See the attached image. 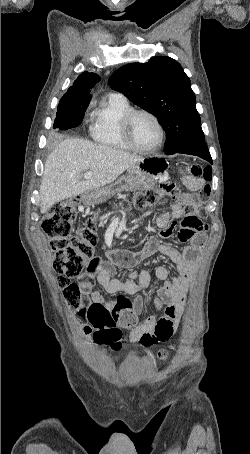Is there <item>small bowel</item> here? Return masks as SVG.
I'll list each match as a JSON object with an SVG mask.
<instances>
[{"instance_id":"c3829d8e","label":"small bowel","mask_w":250,"mask_h":454,"mask_svg":"<svg viewBox=\"0 0 250 454\" xmlns=\"http://www.w3.org/2000/svg\"><path fill=\"white\" fill-rule=\"evenodd\" d=\"M183 181L190 192L183 194L170 211L162 213L157 218V224L161 228L159 237L167 238L173 233L175 221L183 217L178 239L187 245L183 250H178L171 245L162 244L157 236H152L141 251L110 250L108 260L94 257L89 262L87 270L79 277L82 299L77 311L78 327L85 336H89L92 332L86 311L93 303L105 305L120 319L132 318L133 327L130 331V339L145 346L167 341L175 333L183 315L185 298L195 272L197 258L206 239L202 231V221L196 215L198 201L193 194L202 187L203 180L186 176ZM157 251L169 257L177 265L178 270L177 276L172 279H169V273L165 267L159 266L154 270L156 277L162 281V286L157 293L156 304L164 308L163 317L151 316L139 322L143 308L140 297L129 301L121 296L116 301L107 302L98 291L93 290L96 279L109 294H137L149 285L150 272L144 270L133 274L127 281H121L113 277L114 267L139 262Z\"/></svg>"}]
</instances>
